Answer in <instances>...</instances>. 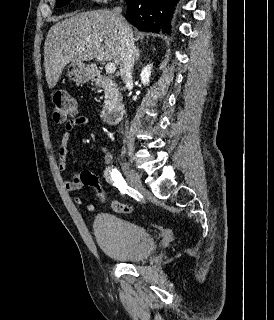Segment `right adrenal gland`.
<instances>
[{
    "label": "right adrenal gland",
    "mask_w": 274,
    "mask_h": 320,
    "mask_svg": "<svg viewBox=\"0 0 274 320\" xmlns=\"http://www.w3.org/2000/svg\"><path fill=\"white\" fill-rule=\"evenodd\" d=\"M135 60H136V62H137V60H140L139 48H136V50H135Z\"/></svg>",
    "instance_id": "1"
}]
</instances>
